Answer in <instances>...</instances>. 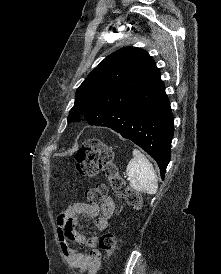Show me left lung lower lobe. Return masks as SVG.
<instances>
[{
    "label": "left lung lower lobe",
    "instance_id": "1",
    "mask_svg": "<svg viewBox=\"0 0 221 274\" xmlns=\"http://www.w3.org/2000/svg\"><path fill=\"white\" fill-rule=\"evenodd\" d=\"M93 115L90 125L111 128L140 146L157 162L164 179L171 158L174 117L160 71L136 98Z\"/></svg>",
    "mask_w": 221,
    "mask_h": 274
}]
</instances>
